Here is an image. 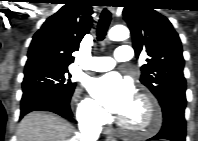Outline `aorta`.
Listing matches in <instances>:
<instances>
[{"label":"aorta","instance_id":"1","mask_svg":"<svg viewBox=\"0 0 198 141\" xmlns=\"http://www.w3.org/2000/svg\"><path fill=\"white\" fill-rule=\"evenodd\" d=\"M108 36L112 41H122L129 37V30L123 25H116L110 29Z\"/></svg>","mask_w":198,"mask_h":141}]
</instances>
